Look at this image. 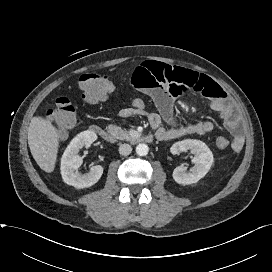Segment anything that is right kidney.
Segmentation results:
<instances>
[{"label":"right kidney","mask_w":272,"mask_h":272,"mask_svg":"<svg viewBox=\"0 0 272 272\" xmlns=\"http://www.w3.org/2000/svg\"><path fill=\"white\" fill-rule=\"evenodd\" d=\"M97 139V135L92 131H84L72 139L67 146L61 158V175L64 182L72 185L77 189L87 188L101 178L103 167L101 165L93 166L90 172L85 174L78 173V168L83 162V158L78 155L79 150L83 147H90Z\"/></svg>","instance_id":"ca27d5eb"}]
</instances>
